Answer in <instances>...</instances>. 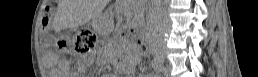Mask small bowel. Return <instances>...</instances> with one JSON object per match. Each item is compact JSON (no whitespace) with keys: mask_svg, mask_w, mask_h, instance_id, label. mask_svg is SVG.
<instances>
[{"mask_svg":"<svg viewBox=\"0 0 258 77\" xmlns=\"http://www.w3.org/2000/svg\"><path fill=\"white\" fill-rule=\"evenodd\" d=\"M139 56H140L139 52L135 50H130L128 52V60H129L128 66L131 67L138 60ZM48 57H51V54H49ZM56 63H57L58 69L60 70L67 69V65L65 64V61L57 59ZM58 73H64V71H58Z\"/></svg>","mask_w":258,"mask_h":77,"instance_id":"small-bowel-1","label":"small bowel"}]
</instances>
